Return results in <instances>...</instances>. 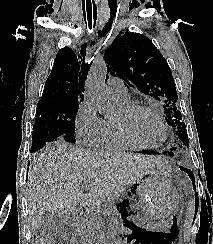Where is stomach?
Listing matches in <instances>:
<instances>
[{
    "instance_id": "0dacf381",
    "label": "stomach",
    "mask_w": 213,
    "mask_h": 244,
    "mask_svg": "<svg viewBox=\"0 0 213 244\" xmlns=\"http://www.w3.org/2000/svg\"><path fill=\"white\" fill-rule=\"evenodd\" d=\"M130 186L147 221L165 219L177 208V189L163 171L144 175Z\"/></svg>"
}]
</instances>
